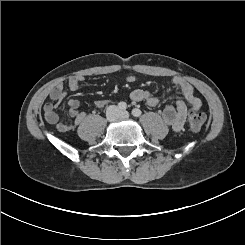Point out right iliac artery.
Here are the masks:
<instances>
[{
    "mask_svg": "<svg viewBox=\"0 0 245 245\" xmlns=\"http://www.w3.org/2000/svg\"><path fill=\"white\" fill-rule=\"evenodd\" d=\"M118 108H119V110L125 111L126 108H127V104L125 102H119L118 103Z\"/></svg>",
    "mask_w": 245,
    "mask_h": 245,
    "instance_id": "obj_1",
    "label": "right iliac artery"
}]
</instances>
